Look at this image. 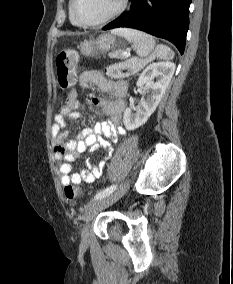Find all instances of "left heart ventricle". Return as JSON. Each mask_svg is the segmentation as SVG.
<instances>
[{
    "mask_svg": "<svg viewBox=\"0 0 233 284\" xmlns=\"http://www.w3.org/2000/svg\"><path fill=\"white\" fill-rule=\"evenodd\" d=\"M120 0H78L77 15L85 22H95L113 12Z\"/></svg>",
    "mask_w": 233,
    "mask_h": 284,
    "instance_id": "obj_1",
    "label": "left heart ventricle"
}]
</instances>
